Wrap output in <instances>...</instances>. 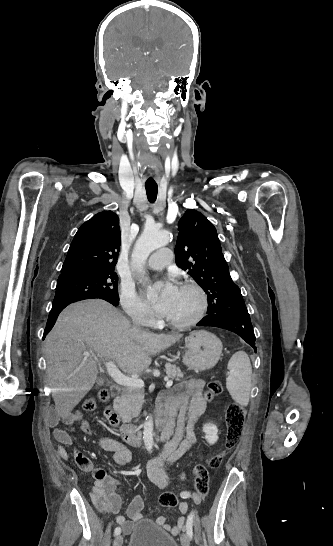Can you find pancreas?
<instances>
[{"mask_svg":"<svg viewBox=\"0 0 333 546\" xmlns=\"http://www.w3.org/2000/svg\"><path fill=\"white\" fill-rule=\"evenodd\" d=\"M166 375L169 378L180 380L184 374L181 370L172 364L165 365ZM118 402L120 404L121 416L131 421L133 418L139 416L142 405L144 403V390L143 388H126L122 395L119 397Z\"/></svg>","mask_w":333,"mask_h":546,"instance_id":"pancreas-1","label":"pancreas"}]
</instances>
